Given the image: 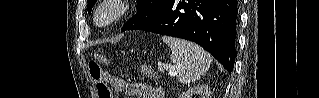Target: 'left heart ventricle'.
Returning a JSON list of instances; mask_svg holds the SVG:
<instances>
[{
  "instance_id": "1",
  "label": "left heart ventricle",
  "mask_w": 319,
  "mask_h": 98,
  "mask_svg": "<svg viewBox=\"0 0 319 98\" xmlns=\"http://www.w3.org/2000/svg\"><path fill=\"white\" fill-rule=\"evenodd\" d=\"M110 14H111V11H110V10H104V11L102 12V18L105 19V18H107Z\"/></svg>"
}]
</instances>
